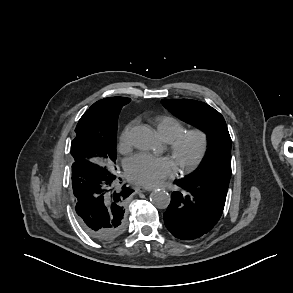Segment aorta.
I'll return each mask as SVG.
<instances>
[{"mask_svg":"<svg viewBox=\"0 0 293 293\" xmlns=\"http://www.w3.org/2000/svg\"><path fill=\"white\" fill-rule=\"evenodd\" d=\"M132 143L139 150L151 151L155 145L154 133L146 126H138L133 130ZM170 200V195L165 190H155L150 194L151 203L159 209L167 208Z\"/></svg>","mask_w":293,"mask_h":293,"instance_id":"1","label":"aorta"}]
</instances>
